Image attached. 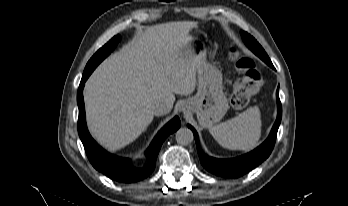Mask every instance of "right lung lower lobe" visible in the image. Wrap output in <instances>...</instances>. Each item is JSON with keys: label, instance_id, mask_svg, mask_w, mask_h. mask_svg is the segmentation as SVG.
Listing matches in <instances>:
<instances>
[{"label": "right lung lower lobe", "instance_id": "98d812e1", "mask_svg": "<svg viewBox=\"0 0 348 206\" xmlns=\"http://www.w3.org/2000/svg\"><path fill=\"white\" fill-rule=\"evenodd\" d=\"M103 59L104 57H101L100 59H93L86 65V68L84 70L77 94V101L79 107L78 133L84 145L88 159L90 160L91 164L94 166L95 169L102 172L109 178L119 182L129 183L142 180L153 172L155 168L157 155L165 138L168 137L171 133L178 130L181 123L179 118L175 117L159 131L157 136L154 138L151 146L146 152L148 164L145 168L142 169L134 168L131 165L129 159L116 157L102 149L92 139L87 130L82 91L85 81L88 79L90 74Z\"/></svg>", "mask_w": 348, "mask_h": 206}]
</instances>
